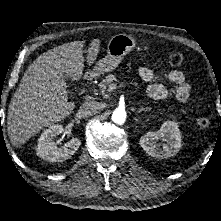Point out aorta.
I'll return each instance as SVG.
<instances>
[{
  "mask_svg": "<svg viewBox=\"0 0 221 221\" xmlns=\"http://www.w3.org/2000/svg\"><path fill=\"white\" fill-rule=\"evenodd\" d=\"M126 111L124 109H116L112 113V121L118 125L125 123L126 120Z\"/></svg>",
  "mask_w": 221,
  "mask_h": 221,
  "instance_id": "aorta-1",
  "label": "aorta"
}]
</instances>
